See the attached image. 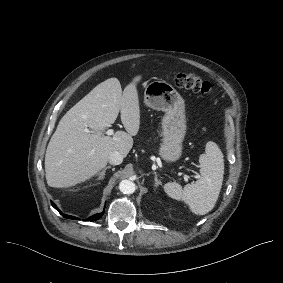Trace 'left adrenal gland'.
<instances>
[{"mask_svg":"<svg viewBox=\"0 0 283 283\" xmlns=\"http://www.w3.org/2000/svg\"><path fill=\"white\" fill-rule=\"evenodd\" d=\"M155 175L154 180H155V187L162 185V182L160 180H158V176L156 174V172L153 173Z\"/></svg>","mask_w":283,"mask_h":283,"instance_id":"1","label":"left adrenal gland"}]
</instances>
